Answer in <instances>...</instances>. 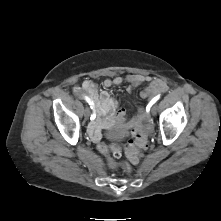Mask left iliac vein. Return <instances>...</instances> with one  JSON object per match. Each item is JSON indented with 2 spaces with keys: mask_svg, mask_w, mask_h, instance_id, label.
Here are the masks:
<instances>
[{
  "mask_svg": "<svg viewBox=\"0 0 221 221\" xmlns=\"http://www.w3.org/2000/svg\"><path fill=\"white\" fill-rule=\"evenodd\" d=\"M156 110H157V108L154 106V107L152 108V114H153V115L156 114Z\"/></svg>",
  "mask_w": 221,
  "mask_h": 221,
  "instance_id": "left-iliac-vein-1",
  "label": "left iliac vein"
}]
</instances>
